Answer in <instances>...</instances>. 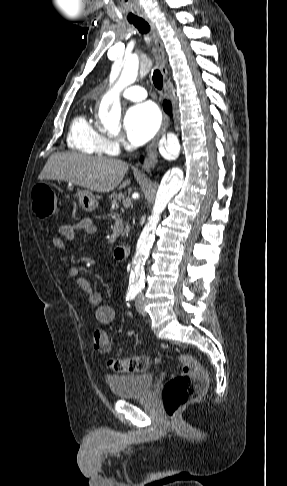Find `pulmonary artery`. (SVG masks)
<instances>
[{"label":"pulmonary artery","mask_w":287,"mask_h":486,"mask_svg":"<svg viewBox=\"0 0 287 486\" xmlns=\"http://www.w3.org/2000/svg\"><path fill=\"white\" fill-rule=\"evenodd\" d=\"M123 97L131 101H141L147 97L146 90L143 87L134 85L126 88L123 93Z\"/></svg>","instance_id":"obj_1"}]
</instances>
